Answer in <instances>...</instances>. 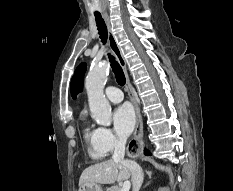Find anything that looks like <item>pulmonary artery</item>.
<instances>
[{"instance_id": "pulmonary-artery-1", "label": "pulmonary artery", "mask_w": 233, "mask_h": 191, "mask_svg": "<svg viewBox=\"0 0 233 191\" xmlns=\"http://www.w3.org/2000/svg\"><path fill=\"white\" fill-rule=\"evenodd\" d=\"M105 95L107 99L113 103H119L123 100L122 91L114 86H109L105 90Z\"/></svg>"}]
</instances>
